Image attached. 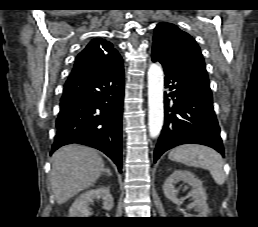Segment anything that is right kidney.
Returning a JSON list of instances; mask_svg holds the SVG:
<instances>
[{
	"label": "right kidney",
	"instance_id": "1",
	"mask_svg": "<svg viewBox=\"0 0 258 227\" xmlns=\"http://www.w3.org/2000/svg\"><path fill=\"white\" fill-rule=\"evenodd\" d=\"M99 199H102L105 210L110 211L112 209L113 198L109 188L99 187L81 194L72 204L69 210V217H87L90 212L89 204Z\"/></svg>",
	"mask_w": 258,
	"mask_h": 227
}]
</instances>
